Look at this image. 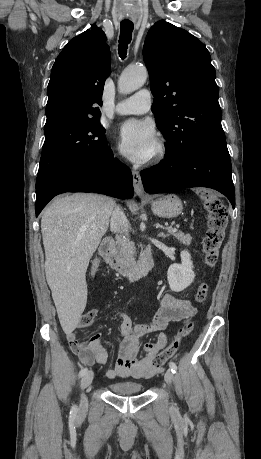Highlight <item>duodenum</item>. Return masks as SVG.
Here are the masks:
<instances>
[{
    "instance_id": "obj_1",
    "label": "duodenum",
    "mask_w": 261,
    "mask_h": 459,
    "mask_svg": "<svg viewBox=\"0 0 261 459\" xmlns=\"http://www.w3.org/2000/svg\"><path fill=\"white\" fill-rule=\"evenodd\" d=\"M113 239L106 238L99 247V254L104 262L115 271L120 272L123 276L136 280L149 271L154 265V255L152 248H147L141 260L134 265H123L113 250Z\"/></svg>"
}]
</instances>
